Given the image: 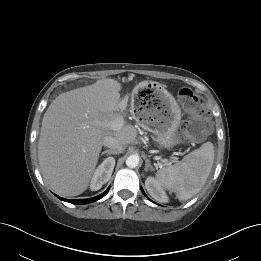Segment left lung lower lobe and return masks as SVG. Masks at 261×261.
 Masks as SVG:
<instances>
[{
  "instance_id": "1",
  "label": "left lung lower lobe",
  "mask_w": 261,
  "mask_h": 261,
  "mask_svg": "<svg viewBox=\"0 0 261 261\" xmlns=\"http://www.w3.org/2000/svg\"><path fill=\"white\" fill-rule=\"evenodd\" d=\"M142 193L146 196V194L144 193L143 189H142Z\"/></svg>"
}]
</instances>
